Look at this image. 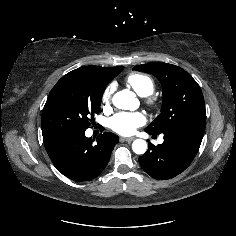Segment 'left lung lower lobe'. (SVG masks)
<instances>
[{
  "label": "left lung lower lobe",
  "instance_id": "1",
  "mask_svg": "<svg viewBox=\"0 0 236 236\" xmlns=\"http://www.w3.org/2000/svg\"><path fill=\"white\" fill-rule=\"evenodd\" d=\"M205 131V123L195 122L165 131L164 142L149 143L148 151L139 157L143 170L158 180L171 179L183 172L196 156Z\"/></svg>",
  "mask_w": 236,
  "mask_h": 236
}]
</instances>
